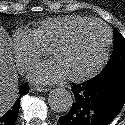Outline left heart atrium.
Wrapping results in <instances>:
<instances>
[{
	"instance_id": "39dd6f15",
	"label": "left heart atrium",
	"mask_w": 125,
	"mask_h": 125,
	"mask_svg": "<svg viewBox=\"0 0 125 125\" xmlns=\"http://www.w3.org/2000/svg\"><path fill=\"white\" fill-rule=\"evenodd\" d=\"M67 76L63 66L55 58L37 64L29 74L30 80L40 85L58 82Z\"/></svg>"
}]
</instances>
